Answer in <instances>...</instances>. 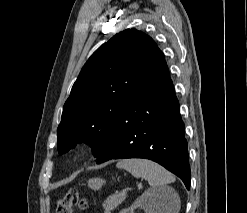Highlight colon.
Masks as SVG:
<instances>
[{"mask_svg": "<svg viewBox=\"0 0 247 213\" xmlns=\"http://www.w3.org/2000/svg\"><path fill=\"white\" fill-rule=\"evenodd\" d=\"M87 207V199L76 189L69 190L56 205V213H73L75 208L84 209Z\"/></svg>", "mask_w": 247, "mask_h": 213, "instance_id": "5ec220e1", "label": "colon"}]
</instances>
